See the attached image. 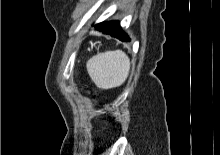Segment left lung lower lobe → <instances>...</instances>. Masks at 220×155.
<instances>
[{
    "instance_id": "0a47b994",
    "label": "left lung lower lobe",
    "mask_w": 220,
    "mask_h": 155,
    "mask_svg": "<svg viewBox=\"0 0 220 155\" xmlns=\"http://www.w3.org/2000/svg\"><path fill=\"white\" fill-rule=\"evenodd\" d=\"M94 27L96 30L101 31L105 34H109L112 37H116L121 41H130V38L122 30L118 21L101 22L99 24L94 25Z\"/></svg>"
}]
</instances>
